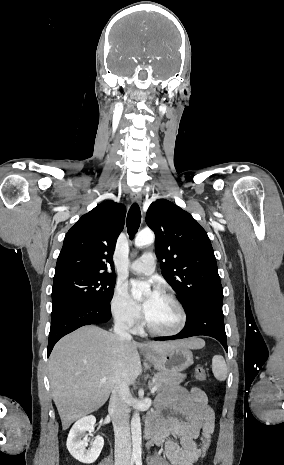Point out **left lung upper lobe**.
I'll list each match as a JSON object with an SVG mask.
<instances>
[{"label": "left lung upper lobe", "mask_w": 284, "mask_h": 465, "mask_svg": "<svg viewBox=\"0 0 284 465\" xmlns=\"http://www.w3.org/2000/svg\"><path fill=\"white\" fill-rule=\"evenodd\" d=\"M146 223L156 235L162 275L185 309L202 301L222 303L223 289L210 239L192 215L158 199L150 205Z\"/></svg>", "instance_id": "left-lung-upper-lobe-1"}]
</instances>
